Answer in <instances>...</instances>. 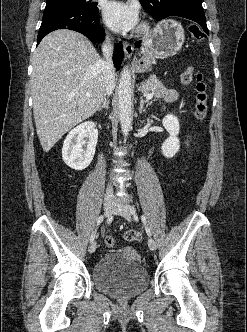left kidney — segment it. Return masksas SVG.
<instances>
[{
  "mask_svg": "<svg viewBox=\"0 0 247 332\" xmlns=\"http://www.w3.org/2000/svg\"><path fill=\"white\" fill-rule=\"evenodd\" d=\"M162 124L169 133V138L162 144L161 151L166 158H172L180 149L178 134L180 130L179 120L172 114L166 115Z\"/></svg>",
  "mask_w": 247,
  "mask_h": 332,
  "instance_id": "obj_1",
  "label": "left kidney"
}]
</instances>
